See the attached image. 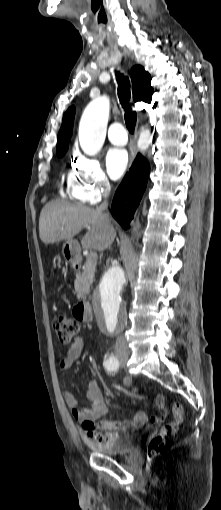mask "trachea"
Returning <instances> with one entry per match:
<instances>
[{
	"label": "trachea",
	"mask_w": 221,
	"mask_h": 510,
	"mask_svg": "<svg viewBox=\"0 0 221 510\" xmlns=\"http://www.w3.org/2000/svg\"><path fill=\"white\" fill-rule=\"evenodd\" d=\"M116 79L118 82V96L120 103L125 110V123L126 127L131 134L134 133L137 115L136 112L131 109V105L128 103L130 100V83L126 76H123L119 72H116Z\"/></svg>",
	"instance_id": "1"
}]
</instances>
